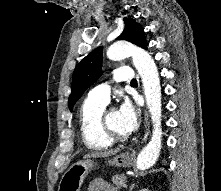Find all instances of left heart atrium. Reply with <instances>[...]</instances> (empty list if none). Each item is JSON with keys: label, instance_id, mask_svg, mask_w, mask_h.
Here are the masks:
<instances>
[{"label": "left heart atrium", "instance_id": "left-heart-atrium-1", "mask_svg": "<svg viewBox=\"0 0 221 191\" xmlns=\"http://www.w3.org/2000/svg\"><path fill=\"white\" fill-rule=\"evenodd\" d=\"M118 112L122 129L127 134L134 132L139 124V116L134 105L129 100H125Z\"/></svg>", "mask_w": 221, "mask_h": 191}]
</instances>
